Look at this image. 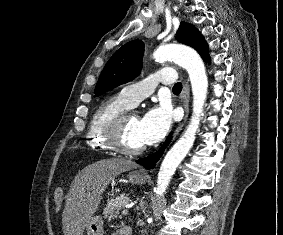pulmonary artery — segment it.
I'll list each match as a JSON object with an SVG mask.
<instances>
[{"instance_id":"obj_1","label":"pulmonary artery","mask_w":283,"mask_h":235,"mask_svg":"<svg viewBox=\"0 0 283 235\" xmlns=\"http://www.w3.org/2000/svg\"><path fill=\"white\" fill-rule=\"evenodd\" d=\"M175 79L176 73L172 68H163L140 82L125 86L120 94L131 107H134L151 95L159 83L170 85Z\"/></svg>"}]
</instances>
